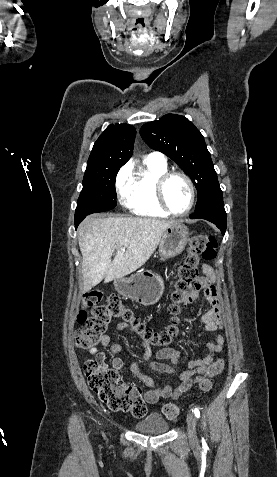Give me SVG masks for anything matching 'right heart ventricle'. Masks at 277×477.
<instances>
[{"mask_svg":"<svg viewBox=\"0 0 277 477\" xmlns=\"http://www.w3.org/2000/svg\"><path fill=\"white\" fill-rule=\"evenodd\" d=\"M166 171V163L145 160V169L132 178L125 203L133 214L150 218L169 217V214L159 205L155 193L156 180Z\"/></svg>","mask_w":277,"mask_h":477,"instance_id":"right-heart-ventricle-1","label":"right heart ventricle"}]
</instances>
